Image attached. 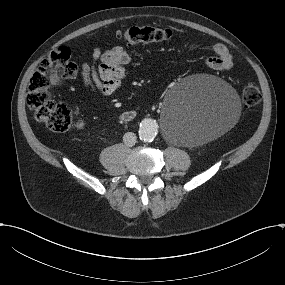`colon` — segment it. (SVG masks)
Returning a JSON list of instances; mask_svg holds the SVG:
<instances>
[{"mask_svg":"<svg viewBox=\"0 0 285 285\" xmlns=\"http://www.w3.org/2000/svg\"><path fill=\"white\" fill-rule=\"evenodd\" d=\"M172 35L169 28L153 26H131L117 33V37L128 44L159 43L170 39ZM76 73L77 66L70 60V50L67 47H58L43 60L30 79L27 104L33 111L34 118L51 131L64 132L83 126V121L76 120L67 105L54 101L49 91L52 84L72 78ZM242 99L248 107L257 105L261 100L259 87L254 83L246 84Z\"/></svg>","mask_w":285,"mask_h":285,"instance_id":"colon-1","label":"colon"}]
</instances>
